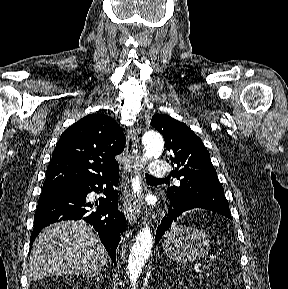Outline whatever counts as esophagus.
<instances>
[{
  "label": "esophagus",
  "instance_id": "1",
  "mask_svg": "<svg viewBox=\"0 0 288 289\" xmlns=\"http://www.w3.org/2000/svg\"><path fill=\"white\" fill-rule=\"evenodd\" d=\"M139 153H140V144L138 133L135 127H131L129 130V134L127 136L126 154L123 162V169L126 175L134 173V168L136 167ZM126 179L128 180L129 183V179L128 178ZM123 209L129 223L130 224L137 223L138 209L136 203L133 201V198L131 197L128 190L124 192Z\"/></svg>",
  "mask_w": 288,
  "mask_h": 289
}]
</instances>
